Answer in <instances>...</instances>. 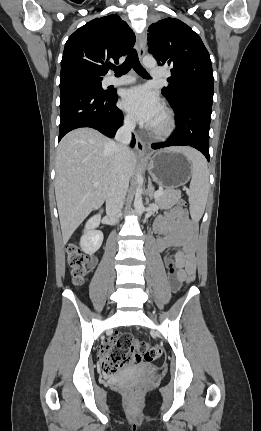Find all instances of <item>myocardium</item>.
<instances>
[{
    "instance_id": "f54148a6",
    "label": "myocardium",
    "mask_w": 261,
    "mask_h": 431,
    "mask_svg": "<svg viewBox=\"0 0 261 431\" xmlns=\"http://www.w3.org/2000/svg\"><path fill=\"white\" fill-rule=\"evenodd\" d=\"M175 129V119L169 110H164L159 124L152 127V133L158 138L169 137Z\"/></svg>"
}]
</instances>
